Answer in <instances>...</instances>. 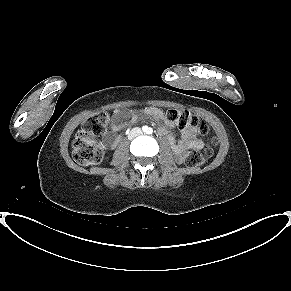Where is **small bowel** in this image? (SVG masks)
<instances>
[{
	"instance_id": "obj_1",
	"label": "small bowel",
	"mask_w": 291,
	"mask_h": 291,
	"mask_svg": "<svg viewBox=\"0 0 291 291\" xmlns=\"http://www.w3.org/2000/svg\"><path fill=\"white\" fill-rule=\"evenodd\" d=\"M143 117H152L163 122V126L159 128V133L168 139L179 157L188 148H200L202 146V142L197 138L198 130L194 128L182 129L179 140H176L172 133L173 125L166 119L164 112L156 107H147L141 111L117 110L112 116L111 131L106 134L105 142L111 147H115L120 142L121 135L118 132L128 124V122H121V118H130L134 122Z\"/></svg>"
}]
</instances>
